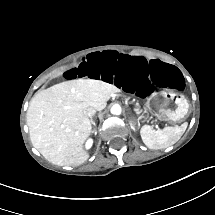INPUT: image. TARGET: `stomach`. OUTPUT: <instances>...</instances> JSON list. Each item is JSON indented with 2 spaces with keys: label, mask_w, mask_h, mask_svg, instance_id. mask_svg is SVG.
Returning a JSON list of instances; mask_svg holds the SVG:
<instances>
[{
  "label": "stomach",
  "mask_w": 215,
  "mask_h": 215,
  "mask_svg": "<svg viewBox=\"0 0 215 215\" xmlns=\"http://www.w3.org/2000/svg\"><path fill=\"white\" fill-rule=\"evenodd\" d=\"M147 109L159 120L180 122L187 117L189 104L182 94L161 91L148 99Z\"/></svg>",
  "instance_id": "0dacf381"
}]
</instances>
